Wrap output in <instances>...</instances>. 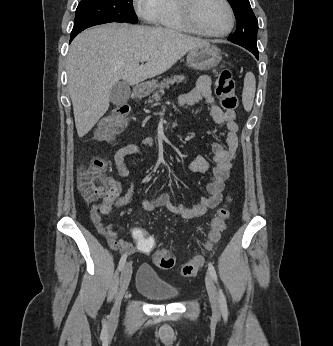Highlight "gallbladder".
I'll return each instance as SVG.
<instances>
[{
    "label": "gallbladder",
    "mask_w": 333,
    "mask_h": 346,
    "mask_svg": "<svg viewBox=\"0 0 333 346\" xmlns=\"http://www.w3.org/2000/svg\"><path fill=\"white\" fill-rule=\"evenodd\" d=\"M130 94V85L125 81H119L110 89L109 98L114 105H121L128 101Z\"/></svg>",
    "instance_id": "bac80fb5"
}]
</instances>
